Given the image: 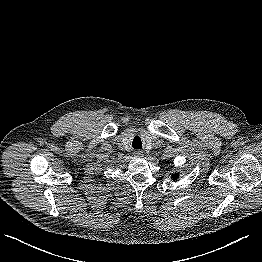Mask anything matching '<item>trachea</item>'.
<instances>
[{
	"label": "trachea",
	"mask_w": 262,
	"mask_h": 262,
	"mask_svg": "<svg viewBox=\"0 0 262 262\" xmlns=\"http://www.w3.org/2000/svg\"><path fill=\"white\" fill-rule=\"evenodd\" d=\"M132 147L134 149H140L142 147V142L139 137H135L132 142Z\"/></svg>",
	"instance_id": "trachea-1"
}]
</instances>
